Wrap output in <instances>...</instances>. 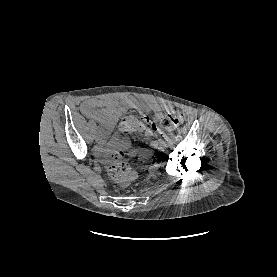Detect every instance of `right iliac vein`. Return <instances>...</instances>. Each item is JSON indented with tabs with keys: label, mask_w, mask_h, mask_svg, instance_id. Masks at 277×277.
Segmentation results:
<instances>
[{
	"label": "right iliac vein",
	"mask_w": 277,
	"mask_h": 277,
	"mask_svg": "<svg viewBox=\"0 0 277 277\" xmlns=\"http://www.w3.org/2000/svg\"><path fill=\"white\" fill-rule=\"evenodd\" d=\"M96 142H100V136L95 137Z\"/></svg>",
	"instance_id": "obj_1"
}]
</instances>
